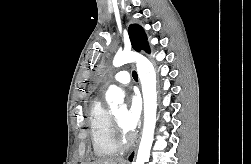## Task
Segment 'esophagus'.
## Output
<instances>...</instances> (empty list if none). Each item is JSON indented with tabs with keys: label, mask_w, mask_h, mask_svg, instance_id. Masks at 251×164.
Here are the masks:
<instances>
[{
	"label": "esophagus",
	"mask_w": 251,
	"mask_h": 164,
	"mask_svg": "<svg viewBox=\"0 0 251 164\" xmlns=\"http://www.w3.org/2000/svg\"><path fill=\"white\" fill-rule=\"evenodd\" d=\"M137 147H138V143L135 145V147L128 154L127 159H126L127 164H132V162L135 160L136 153H137Z\"/></svg>",
	"instance_id": "esophagus-1"
}]
</instances>
